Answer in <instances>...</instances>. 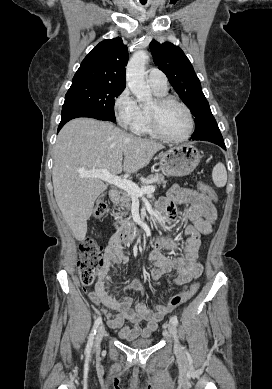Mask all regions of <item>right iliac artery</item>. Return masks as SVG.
Instances as JSON below:
<instances>
[{"label": "right iliac artery", "mask_w": 272, "mask_h": 389, "mask_svg": "<svg viewBox=\"0 0 272 389\" xmlns=\"http://www.w3.org/2000/svg\"><path fill=\"white\" fill-rule=\"evenodd\" d=\"M102 322V318L101 317H98L94 323V326L92 328V331L89 335V338H88V342H87V346H86V352L87 353H90L91 349H92V346H93V341H94V336L96 334V330L98 328V326L100 325V323Z\"/></svg>", "instance_id": "82829eb1"}]
</instances>
